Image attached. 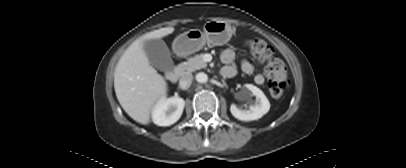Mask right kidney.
<instances>
[{
  "instance_id": "right-kidney-1",
  "label": "right kidney",
  "mask_w": 406,
  "mask_h": 168,
  "mask_svg": "<svg viewBox=\"0 0 406 168\" xmlns=\"http://www.w3.org/2000/svg\"><path fill=\"white\" fill-rule=\"evenodd\" d=\"M185 101L180 97L163 98L152 111V120L158 126L176 123L183 113Z\"/></svg>"
}]
</instances>
